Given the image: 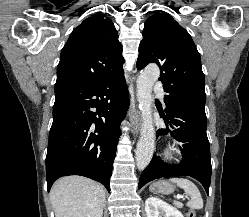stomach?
Returning <instances> with one entry per match:
<instances>
[{
	"instance_id": "obj_1",
	"label": "stomach",
	"mask_w": 249,
	"mask_h": 217,
	"mask_svg": "<svg viewBox=\"0 0 249 217\" xmlns=\"http://www.w3.org/2000/svg\"><path fill=\"white\" fill-rule=\"evenodd\" d=\"M174 189V185L168 181H158L150 186V190L158 194H170Z\"/></svg>"
}]
</instances>
